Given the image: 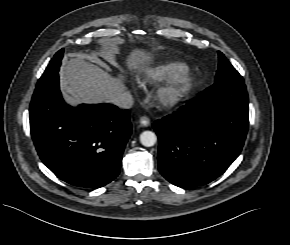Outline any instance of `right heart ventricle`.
<instances>
[{"label":"right heart ventricle","mask_w":290,"mask_h":245,"mask_svg":"<svg viewBox=\"0 0 290 245\" xmlns=\"http://www.w3.org/2000/svg\"><path fill=\"white\" fill-rule=\"evenodd\" d=\"M187 70L188 66L185 63L167 61L145 68L135 76V80L141 87H147Z\"/></svg>","instance_id":"right-heart-ventricle-1"}]
</instances>
